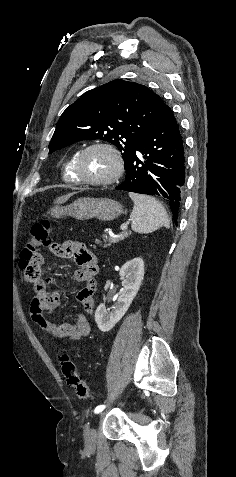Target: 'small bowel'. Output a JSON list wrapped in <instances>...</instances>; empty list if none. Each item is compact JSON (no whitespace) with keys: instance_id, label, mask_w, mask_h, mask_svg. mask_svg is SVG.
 <instances>
[{"instance_id":"small-bowel-1","label":"small bowel","mask_w":236,"mask_h":477,"mask_svg":"<svg viewBox=\"0 0 236 477\" xmlns=\"http://www.w3.org/2000/svg\"><path fill=\"white\" fill-rule=\"evenodd\" d=\"M51 252L63 259L73 258L77 269L74 278L83 287L75 294V303L87 313L94 309V294L97 289L93 277L97 271V259L82 243L68 240L62 244L54 243ZM41 289L30 303V312L34 323L44 332L59 339L79 340L89 335L91 326L82 312H76L73 319L62 324L50 321L46 313L53 311L63 304V288L48 290V283L40 281Z\"/></svg>"}]
</instances>
